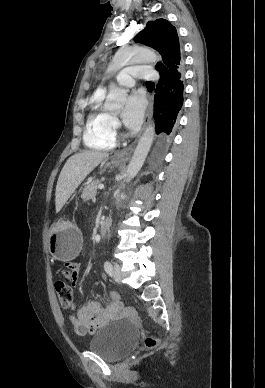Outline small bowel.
<instances>
[{
  "label": "small bowel",
  "instance_id": "small-bowel-1",
  "mask_svg": "<svg viewBox=\"0 0 265 388\" xmlns=\"http://www.w3.org/2000/svg\"><path fill=\"white\" fill-rule=\"evenodd\" d=\"M81 272V264L77 261L65 263L63 274L76 285ZM75 304L72 306L74 310ZM121 304H104L100 300L92 299L75 310L69 318L77 334L84 336L95 333L103 325L117 320L122 314Z\"/></svg>",
  "mask_w": 265,
  "mask_h": 388
}]
</instances>
